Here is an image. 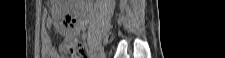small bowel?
Masks as SVG:
<instances>
[{"mask_svg":"<svg viewBox=\"0 0 225 58\" xmlns=\"http://www.w3.org/2000/svg\"><path fill=\"white\" fill-rule=\"evenodd\" d=\"M46 25L47 27L52 25V19L51 18H47L46 19ZM76 34H77V30L76 29H69L66 32V36L62 42V44L60 45L59 48V52L61 55L56 56V50L51 42V39L46 40L43 45H42V52L47 54L50 58H59L63 55L64 50L77 43L76 40Z\"/></svg>","mask_w":225,"mask_h":58,"instance_id":"obj_1","label":"small bowel"}]
</instances>
